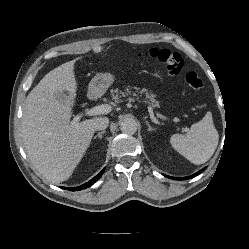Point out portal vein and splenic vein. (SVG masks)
Returning a JSON list of instances; mask_svg holds the SVG:
<instances>
[{
	"instance_id": "portal-vein-and-splenic-vein-1",
	"label": "portal vein and splenic vein",
	"mask_w": 249,
	"mask_h": 249,
	"mask_svg": "<svg viewBox=\"0 0 249 249\" xmlns=\"http://www.w3.org/2000/svg\"><path fill=\"white\" fill-rule=\"evenodd\" d=\"M111 110H112V107L109 104H102V105L95 106L92 108H86L83 113H79L73 118L72 124H77L80 121V119L84 116L108 114L111 112ZM161 117L164 118L163 116Z\"/></svg>"
}]
</instances>
